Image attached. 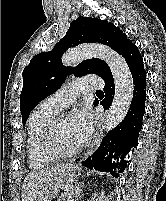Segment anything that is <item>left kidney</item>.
I'll return each instance as SVG.
<instances>
[{
    "label": "left kidney",
    "instance_id": "1",
    "mask_svg": "<svg viewBox=\"0 0 166 201\" xmlns=\"http://www.w3.org/2000/svg\"><path fill=\"white\" fill-rule=\"evenodd\" d=\"M104 197V192L102 191L101 192V199Z\"/></svg>",
    "mask_w": 166,
    "mask_h": 201
}]
</instances>
